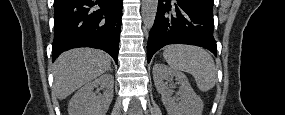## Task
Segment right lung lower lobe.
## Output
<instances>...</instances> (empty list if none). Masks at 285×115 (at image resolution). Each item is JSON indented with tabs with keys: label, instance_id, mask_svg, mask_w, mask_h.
<instances>
[{
	"label": "right lung lower lobe",
	"instance_id": "right-lung-lower-lobe-1",
	"mask_svg": "<svg viewBox=\"0 0 285 115\" xmlns=\"http://www.w3.org/2000/svg\"><path fill=\"white\" fill-rule=\"evenodd\" d=\"M122 0H54L53 61L64 51L93 47L117 63Z\"/></svg>",
	"mask_w": 285,
	"mask_h": 115
}]
</instances>
